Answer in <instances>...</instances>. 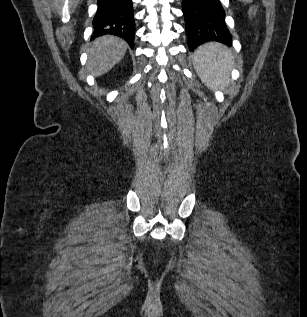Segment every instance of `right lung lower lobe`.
Returning a JSON list of instances; mask_svg holds the SVG:
<instances>
[{
	"mask_svg": "<svg viewBox=\"0 0 307 317\" xmlns=\"http://www.w3.org/2000/svg\"><path fill=\"white\" fill-rule=\"evenodd\" d=\"M97 5L91 40L105 34H112L123 38L133 48L135 22L132 0H98Z\"/></svg>",
	"mask_w": 307,
	"mask_h": 317,
	"instance_id": "98d812e1",
	"label": "right lung lower lobe"
}]
</instances>
